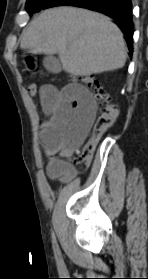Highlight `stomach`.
I'll list each match as a JSON object with an SVG mask.
<instances>
[{
	"mask_svg": "<svg viewBox=\"0 0 148 279\" xmlns=\"http://www.w3.org/2000/svg\"><path fill=\"white\" fill-rule=\"evenodd\" d=\"M23 62V69H27L26 75H30L31 78H44L45 75H49L46 64H43L41 58H36V54H27Z\"/></svg>",
	"mask_w": 148,
	"mask_h": 279,
	"instance_id": "1",
	"label": "stomach"
}]
</instances>
